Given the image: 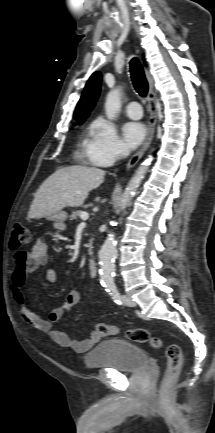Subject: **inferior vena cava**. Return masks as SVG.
<instances>
[{"mask_svg": "<svg viewBox=\"0 0 215 433\" xmlns=\"http://www.w3.org/2000/svg\"><path fill=\"white\" fill-rule=\"evenodd\" d=\"M119 154H120V155H122V154H123V152H122V151H120V152H119Z\"/></svg>", "mask_w": 215, "mask_h": 433, "instance_id": "inferior-vena-cava-1", "label": "inferior vena cava"}]
</instances>
